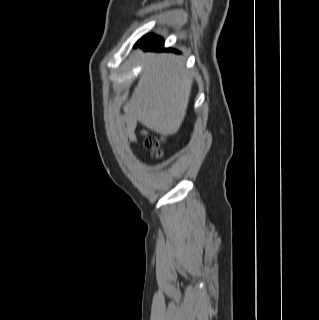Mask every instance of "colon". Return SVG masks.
Masks as SVG:
<instances>
[{
	"label": "colon",
	"instance_id": "obj_1",
	"mask_svg": "<svg viewBox=\"0 0 319 320\" xmlns=\"http://www.w3.org/2000/svg\"><path fill=\"white\" fill-rule=\"evenodd\" d=\"M163 140L154 135H147L144 139V145L148 150L154 151L158 154L160 147L162 146Z\"/></svg>",
	"mask_w": 319,
	"mask_h": 320
}]
</instances>
